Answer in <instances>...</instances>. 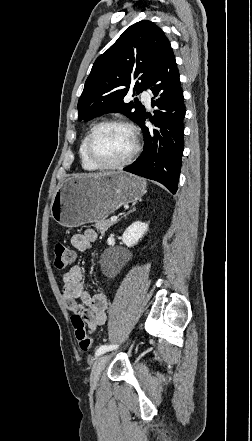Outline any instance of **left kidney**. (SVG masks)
Here are the masks:
<instances>
[{
  "mask_svg": "<svg viewBox=\"0 0 252 441\" xmlns=\"http://www.w3.org/2000/svg\"><path fill=\"white\" fill-rule=\"evenodd\" d=\"M148 230V224L140 221L132 223L123 233L122 242L127 247H133L145 235Z\"/></svg>",
  "mask_w": 252,
  "mask_h": 441,
  "instance_id": "left-kidney-1",
  "label": "left kidney"
}]
</instances>
